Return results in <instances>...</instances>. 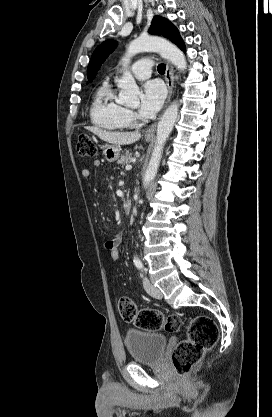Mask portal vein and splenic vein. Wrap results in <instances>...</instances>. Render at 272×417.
Listing matches in <instances>:
<instances>
[{
    "instance_id": "18ae733b",
    "label": "portal vein and splenic vein",
    "mask_w": 272,
    "mask_h": 417,
    "mask_svg": "<svg viewBox=\"0 0 272 417\" xmlns=\"http://www.w3.org/2000/svg\"><path fill=\"white\" fill-rule=\"evenodd\" d=\"M125 169H126V170H131V169H132V166H131V165H127V166L125 167Z\"/></svg>"
}]
</instances>
